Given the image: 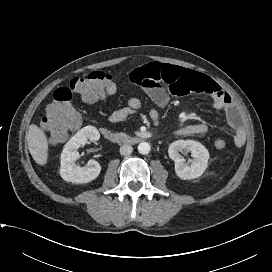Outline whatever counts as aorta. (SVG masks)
I'll return each mask as SVG.
<instances>
[{
    "label": "aorta",
    "mask_w": 272,
    "mask_h": 272,
    "mask_svg": "<svg viewBox=\"0 0 272 272\" xmlns=\"http://www.w3.org/2000/svg\"><path fill=\"white\" fill-rule=\"evenodd\" d=\"M150 144L147 142H142L138 145V152L140 154L146 155L150 152Z\"/></svg>",
    "instance_id": "1"
}]
</instances>
